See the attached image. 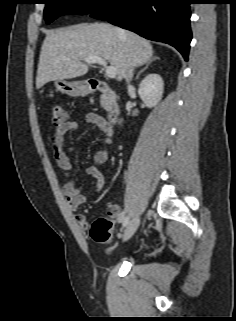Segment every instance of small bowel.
Returning <instances> with one entry per match:
<instances>
[{"mask_svg": "<svg viewBox=\"0 0 236 321\" xmlns=\"http://www.w3.org/2000/svg\"><path fill=\"white\" fill-rule=\"evenodd\" d=\"M85 121L88 124L94 125L98 128L99 132L105 137V144L108 146L113 141V124L96 113H89L85 117ZM78 129V123L73 120L67 121L61 126H57L55 133L52 138V146L54 157L59 168L68 177L63 186L64 196L67 205L70 210L75 211L81 205L87 203L90 196L84 192V189L79 186L75 180L71 179V173L73 171V165L69 157V153L73 150L71 146H66L65 137L68 133H71ZM108 159V149L107 147L98 151L95 154L94 160L96 164H103ZM84 176L92 177L95 179V192L99 193L105 186L104 175L95 167L88 166L84 170ZM108 215L117 220L122 221L124 217V211L121 206L116 203H108ZM77 224L82 229H87L89 227V222L84 214H77L75 216Z\"/></svg>", "mask_w": 236, "mask_h": 321, "instance_id": "c3829d8e", "label": "small bowel"}]
</instances>
